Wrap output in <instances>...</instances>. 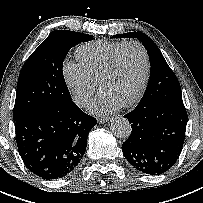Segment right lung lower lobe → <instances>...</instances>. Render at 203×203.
I'll list each match as a JSON object with an SVG mask.
<instances>
[{
    "label": "right lung lower lobe",
    "mask_w": 203,
    "mask_h": 203,
    "mask_svg": "<svg viewBox=\"0 0 203 203\" xmlns=\"http://www.w3.org/2000/svg\"><path fill=\"white\" fill-rule=\"evenodd\" d=\"M96 123L73 101L39 109L15 121L19 154L35 175L46 180L64 177L84 155Z\"/></svg>",
    "instance_id": "1"
}]
</instances>
